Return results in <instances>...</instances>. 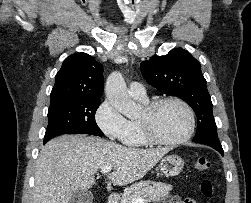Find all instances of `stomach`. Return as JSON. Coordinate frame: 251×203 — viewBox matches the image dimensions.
I'll return each mask as SVG.
<instances>
[{
    "label": "stomach",
    "mask_w": 251,
    "mask_h": 203,
    "mask_svg": "<svg viewBox=\"0 0 251 203\" xmlns=\"http://www.w3.org/2000/svg\"><path fill=\"white\" fill-rule=\"evenodd\" d=\"M184 167V161L178 155H168L160 160L159 168L161 172L167 176L172 177L180 174Z\"/></svg>",
    "instance_id": "stomach-1"
}]
</instances>
